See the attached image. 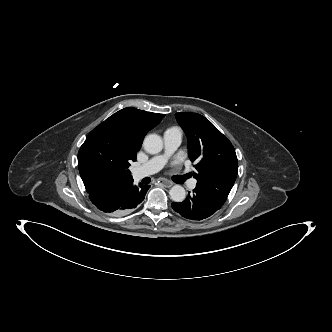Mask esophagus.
<instances>
[{"label":"esophagus","mask_w":332,"mask_h":332,"mask_svg":"<svg viewBox=\"0 0 332 332\" xmlns=\"http://www.w3.org/2000/svg\"><path fill=\"white\" fill-rule=\"evenodd\" d=\"M158 183L164 185L165 187H171L173 185V183L167 179L161 178L158 180Z\"/></svg>","instance_id":"34e87169"}]
</instances>
